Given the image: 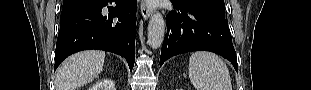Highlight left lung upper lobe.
Returning <instances> with one entry per match:
<instances>
[{"label": "left lung upper lobe", "instance_id": "5c2ea615", "mask_svg": "<svg viewBox=\"0 0 311 90\" xmlns=\"http://www.w3.org/2000/svg\"><path fill=\"white\" fill-rule=\"evenodd\" d=\"M183 8H197L207 10L225 17L224 0H171Z\"/></svg>", "mask_w": 311, "mask_h": 90}]
</instances>
